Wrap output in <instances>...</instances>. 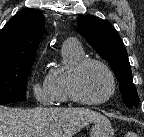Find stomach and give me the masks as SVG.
<instances>
[{"label": "stomach", "mask_w": 144, "mask_h": 137, "mask_svg": "<svg viewBox=\"0 0 144 137\" xmlns=\"http://www.w3.org/2000/svg\"><path fill=\"white\" fill-rule=\"evenodd\" d=\"M90 137H114V129L108 119L96 121L90 130Z\"/></svg>", "instance_id": "1"}]
</instances>
